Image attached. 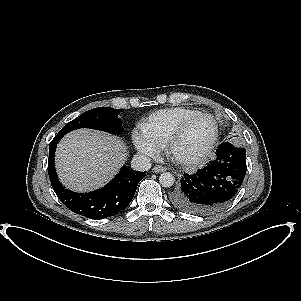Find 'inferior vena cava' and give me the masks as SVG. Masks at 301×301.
<instances>
[{"label": "inferior vena cava", "instance_id": "inferior-vena-cava-1", "mask_svg": "<svg viewBox=\"0 0 301 301\" xmlns=\"http://www.w3.org/2000/svg\"><path fill=\"white\" fill-rule=\"evenodd\" d=\"M131 168L141 172L148 171L151 168V159L141 154L134 155L131 160Z\"/></svg>", "mask_w": 301, "mask_h": 301}]
</instances>
